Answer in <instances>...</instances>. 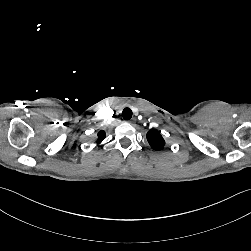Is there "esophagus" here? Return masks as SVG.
<instances>
[{
  "label": "esophagus",
  "instance_id": "esophagus-1",
  "mask_svg": "<svg viewBox=\"0 0 251 251\" xmlns=\"http://www.w3.org/2000/svg\"><path fill=\"white\" fill-rule=\"evenodd\" d=\"M126 122H127V123H131L132 121H131V120H127Z\"/></svg>",
  "mask_w": 251,
  "mask_h": 251
}]
</instances>
